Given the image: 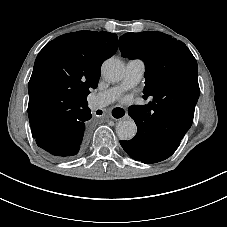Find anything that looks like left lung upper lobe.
<instances>
[{
    "label": "left lung upper lobe",
    "mask_w": 227,
    "mask_h": 227,
    "mask_svg": "<svg viewBox=\"0 0 227 227\" xmlns=\"http://www.w3.org/2000/svg\"><path fill=\"white\" fill-rule=\"evenodd\" d=\"M120 51L146 65L144 98L177 99L189 90L199 94L197 62L187 46L162 32L126 33Z\"/></svg>",
    "instance_id": "obj_1"
}]
</instances>
